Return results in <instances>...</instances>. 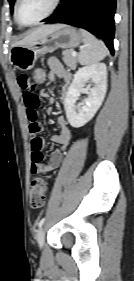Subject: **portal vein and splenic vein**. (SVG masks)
Returning <instances> with one entry per match:
<instances>
[{
  "instance_id": "1",
  "label": "portal vein and splenic vein",
  "mask_w": 134,
  "mask_h": 281,
  "mask_svg": "<svg viewBox=\"0 0 134 281\" xmlns=\"http://www.w3.org/2000/svg\"><path fill=\"white\" fill-rule=\"evenodd\" d=\"M72 56L76 57L77 53L75 51H72Z\"/></svg>"
}]
</instances>
